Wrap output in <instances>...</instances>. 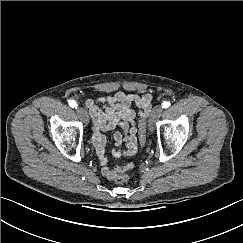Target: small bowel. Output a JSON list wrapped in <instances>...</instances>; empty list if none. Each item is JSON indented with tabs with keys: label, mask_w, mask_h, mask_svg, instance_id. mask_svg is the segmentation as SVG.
<instances>
[{
	"label": "small bowel",
	"mask_w": 243,
	"mask_h": 243,
	"mask_svg": "<svg viewBox=\"0 0 243 243\" xmlns=\"http://www.w3.org/2000/svg\"><path fill=\"white\" fill-rule=\"evenodd\" d=\"M152 98L149 93L139 95L118 92L112 96H103L86 101V106L94 123L92 142L101 164V173L108 180H115L120 169H111L107 166L106 134L111 133L116 146L124 144L123 148H115L112 151L115 157H130L135 154L138 144H142L136 125V117L137 115L141 118L148 116ZM132 105H135L137 112L131 108ZM116 127H120L122 132H114Z\"/></svg>",
	"instance_id": "small-bowel-1"
}]
</instances>
